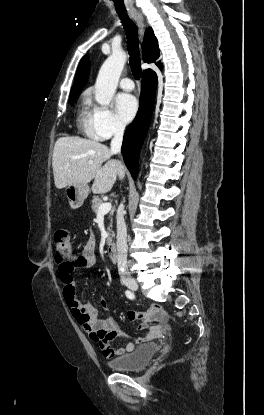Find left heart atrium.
Listing matches in <instances>:
<instances>
[{"label":"left heart atrium","instance_id":"1","mask_svg":"<svg viewBox=\"0 0 264 415\" xmlns=\"http://www.w3.org/2000/svg\"><path fill=\"white\" fill-rule=\"evenodd\" d=\"M115 107L119 118L123 122H129L136 115L138 103L133 95L121 93L115 99Z\"/></svg>","mask_w":264,"mask_h":415}]
</instances>
